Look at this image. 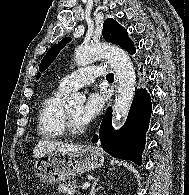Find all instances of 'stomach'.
I'll list each match as a JSON object with an SVG mask.
<instances>
[{
	"instance_id": "obj_1",
	"label": "stomach",
	"mask_w": 189,
	"mask_h": 195,
	"mask_svg": "<svg viewBox=\"0 0 189 195\" xmlns=\"http://www.w3.org/2000/svg\"><path fill=\"white\" fill-rule=\"evenodd\" d=\"M104 162L102 151L95 146H85L76 152H52L39 157L34 171L40 181L60 183L94 170Z\"/></svg>"
}]
</instances>
